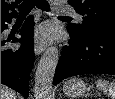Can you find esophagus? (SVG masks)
I'll return each mask as SVG.
<instances>
[{
  "mask_svg": "<svg viewBox=\"0 0 115 99\" xmlns=\"http://www.w3.org/2000/svg\"><path fill=\"white\" fill-rule=\"evenodd\" d=\"M45 48H46L45 44L36 43L34 47L35 54L40 55L45 50Z\"/></svg>",
  "mask_w": 115,
  "mask_h": 99,
  "instance_id": "34e87169",
  "label": "esophagus"
}]
</instances>
